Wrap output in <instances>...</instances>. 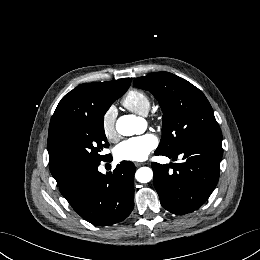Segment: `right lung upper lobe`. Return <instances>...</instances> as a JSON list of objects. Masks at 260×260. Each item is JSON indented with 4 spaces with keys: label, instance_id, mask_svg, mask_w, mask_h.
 Masks as SVG:
<instances>
[{
    "label": "right lung upper lobe",
    "instance_id": "1",
    "mask_svg": "<svg viewBox=\"0 0 260 260\" xmlns=\"http://www.w3.org/2000/svg\"><path fill=\"white\" fill-rule=\"evenodd\" d=\"M130 83V78L86 83L74 88L61 99L51 118L48 134L49 167L58 185L70 174L62 157L64 136L77 119L88 113V108L97 97L105 93H125Z\"/></svg>",
    "mask_w": 260,
    "mask_h": 260
}]
</instances>
